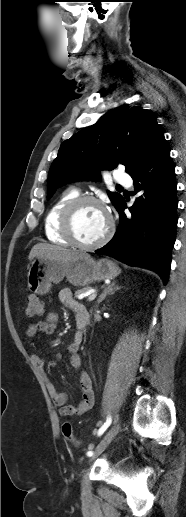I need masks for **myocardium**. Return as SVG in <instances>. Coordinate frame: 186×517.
I'll return each mask as SVG.
<instances>
[{
	"instance_id": "1",
	"label": "myocardium",
	"mask_w": 186,
	"mask_h": 517,
	"mask_svg": "<svg viewBox=\"0 0 186 517\" xmlns=\"http://www.w3.org/2000/svg\"><path fill=\"white\" fill-rule=\"evenodd\" d=\"M86 204H95L104 210L108 218V227L103 236L93 243L81 242L75 234L74 221L80 208ZM114 220L106 205L92 195H81L74 198L64 209L61 217V231L64 237L75 247L82 250H94L105 245L114 233Z\"/></svg>"
}]
</instances>
